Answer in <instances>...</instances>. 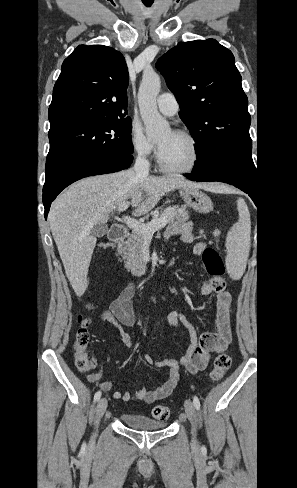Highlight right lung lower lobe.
<instances>
[{
    "label": "right lung lower lobe",
    "instance_id": "1",
    "mask_svg": "<svg viewBox=\"0 0 297 488\" xmlns=\"http://www.w3.org/2000/svg\"><path fill=\"white\" fill-rule=\"evenodd\" d=\"M132 161V155L95 158L73 165L54 177L52 180L45 181L43 187L45 218H47L51 202L64 188L71 183L84 177L113 173L126 169L131 165Z\"/></svg>",
    "mask_w": 297,
    "mask_h": 488
}]
</instances>
